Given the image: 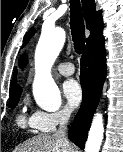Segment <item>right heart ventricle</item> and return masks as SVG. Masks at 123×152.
Listing matches in <instances>:
<instances>
[{"label":"right heart ventricle","instance_id":"1","mask_svg":"<svg viewBox=\"0 0 123 152\" xmlns=\"http://www.w3.org/2000/svg\"><path fill=\"white\" fill-rule=\"evenodd\" d=\"M17 123L20 127H31L32 128V125H31V116L28 118L23 112H21L18 117H17Z\"/></svg>","mask_w":123,"mask_h":152}]
</instances>
